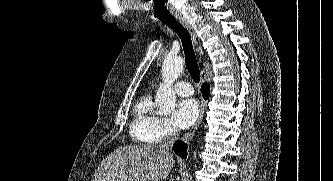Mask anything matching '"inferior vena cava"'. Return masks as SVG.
<instances>
[{"instance_id": "inferior-vena-cava-1", "label": "inferior vena cava", "mask_w": 333, "mask_h": 181, "mask_svg": "<svg viewBox=\"0 0 333 181\" xmlns=\"http://www.w3.org/2000/svg\"><path fill=\"white\" fill-rule=\"evenodd\" d=\"M179 133L180 131L178 129H174L171 136L162 144V147L168 150L169 147H171L174 144V142L178 139Z\"/></svg>"}]
</instances>
